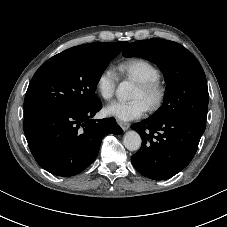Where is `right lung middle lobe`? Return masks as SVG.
I'll return each mask as SVG.
<instances>
[{
    "mask_svg": "<svg viewBox=\"0 0 227 227\" xmlns=\"http://www.w3.org/2000/svg\"><path fill=\"white\" fill-rule=\"evenodd\" d=\"M122 51L121 43L103 42L97 50L69 48L41 65L24 100V115L54 107L78 108L99 99L94 94L110 60Z\"/></svg>",
    "mask_w": 227,
    "mask_h": 227,
    "instance_id": "obj_1",
    "label": "right lung middle lobe"
}]
</instances>
